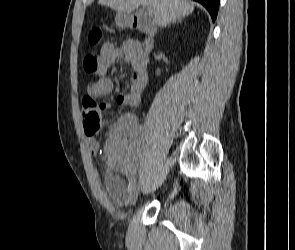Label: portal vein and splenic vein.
Returning a JSON list of instances; mask_svg holds the SVG:
<instances>
[{
  "label": "portal vein and splenic vein",
  "mask_w": 295,
  "mask_h": 250,
  "mask_svg": "<svg viewBox=\"0 0 295 250\" xmlns=\"http://www.w3.org/2000/svg\"><path fill=\"white\" fill-rule=\"evenodd\" d=\"M147 12L149 13V15H152L153 9L151 7H147Z\"/></svg>",
  "instance_id": "portal-vein-and-splenic-vein-1"
}]
</instances>
